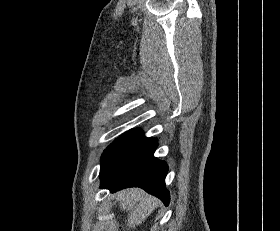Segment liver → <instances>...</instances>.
I'll list each match as a JSON object with an SVG mask.
<instances>
[{
    "instance_id": "obj_1",
    "label": "liver",
    "mask_w": 280,
    "mask_h": 231,
    "mask_svg": "<svg viewBox=\"0 0 280 231\" xmlns=\"http://www.w3.org/2000/svg\"><path fill=\"white\" fill-rule=\"evenodd\" d=\"M116 197H118L122 209H127V211L132 209V211H129L127 219V225H130V227L140 225L155 209L156 203H159L156 197L148 195V193H145L143 189H138V187L123 189V191L117 193Z\"/></svg>"
}]
</instances>
